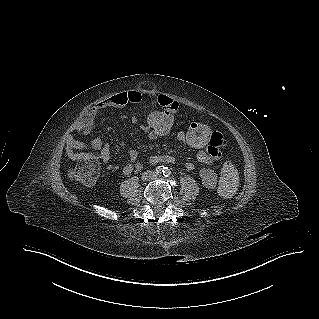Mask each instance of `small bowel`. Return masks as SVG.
Listing matches in <instances>:
<instances>
[{"label":"small bowel","instance_id":"1","mask_svg":"<svg viewBox=\"0 0 319 319\" xmlns=\"http://www.w3.org/2000/svg\"><path fill=\"white\" fill-rule=\"evenodd\" d=\"M143 101V95L138 90L125 91L109 96L101 100L96 105L92 106L88 110L84 111L79 119L74 123L72 127V133L67 136L66 139V152L69 157H76L73 153L74 149H88L93 150V155L106 162L110 159V150L108 146L103 142L101 138H94L90 145H86L83 142L76 140L73 133L77 134H88L93 127L97 115L107 109L122 108L129 104H139ZM180 102L179 99H170L165 95H159L156 100L157 108H164L165 113H177ZM156 112V111H155ZM192 124V123H191ZM186 131H180L177 133V140L190 146L185 138ZM151 139V138H150ZM210 149L208 150H197L196 158L199 162L205 166L200 170L199 175L203 185L208 189H214L218 183V175L211 168L214 161L220 160L222 157V152L226 150V145L223 142L222 131L220 129H213L211 131V136L209 138ZM191 147V146H190ZM137 151L136 149L129 150L130 162L124 167V173L129 174L134 169L140 167V163L137 161ZM150 163H171L175 159L168 155H154L149 159ZM187 170H193L194 164L192 162H187L185 164ZM222 177V176H221Z\"/></svg>","mask_w":319,"mask_h":319}]
</instances>
